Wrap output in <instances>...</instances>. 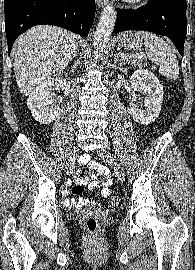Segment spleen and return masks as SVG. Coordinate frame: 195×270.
<instances>
[{
  "label": "spleen",
  "instance_id": "1",
  "mask_svg": "<svg viewBox=\"0 0 195 270\" xmlns=\"http://www.w3.org/2000/svg\"><path fill=\"white\" fill-rule=\"evenodd\" d=\"M136 34L144 41L148 58L160 66L159 73L167 79L176 80L179 75L178 60L168 43L147 31Z\"/></svg>",
  "mask_w": 195,
  "mask_h": 270
}]
</instances>
